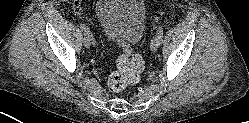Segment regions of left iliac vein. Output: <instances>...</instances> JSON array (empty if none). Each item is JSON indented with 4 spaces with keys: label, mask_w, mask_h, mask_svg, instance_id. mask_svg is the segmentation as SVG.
<instances>
[{
    "label": "left iliac vein",
    "mask_w": 249,
    "mask_h": 123,
    "mask_svg": "<svg viewBox=\"0 0 249 123\" xmlns=\"http://www.w3.org/2000/svg\"><path fill=\"white\" fill-rule=\"evenodd\" d=\"M161 39L156 35L150 43V48L153 52H156L160 46Z\"/></svg>",
    "instance_id": "4c4485c4"
}]
</instances>
